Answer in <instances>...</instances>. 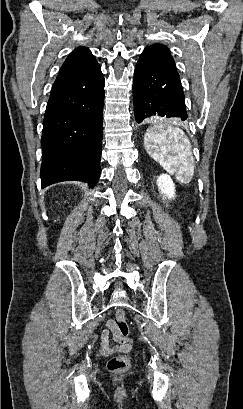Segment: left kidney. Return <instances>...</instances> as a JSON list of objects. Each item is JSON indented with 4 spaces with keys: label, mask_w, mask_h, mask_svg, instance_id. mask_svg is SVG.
I'll return each instance as SVG.
<instances>
[{
    "label": "left kidney",
    "mask_w": 243,
    "mask_h": 409,
    "mask_svg": "<svg viewBox=\"0 0 243 409\" xmlns=\"http://www.w3.org/2000/svg\"><path fill=\"white\" fill-rule=\"evenodd\" d=\"M157 186L160 194L163 195V199H174L175 197V185L171 177L167 174H162L157 179Z\"/></svg>",
    "instance_id": "obj_1"
}]
</instances>
